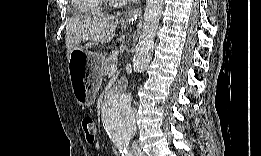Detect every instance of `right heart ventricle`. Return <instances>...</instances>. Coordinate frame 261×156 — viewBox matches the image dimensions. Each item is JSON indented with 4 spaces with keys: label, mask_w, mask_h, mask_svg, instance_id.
I'll return each mask as SVG.
<instances>
[{
    "label": "right heart ventricle",
    "mask_w": 261,
    "mask_h": 156,
    "mask_svg": "<svg viewBox=\"0 0 261 156\" xmlns=\"http://www.w3.org/2000/svg\"><path fill=\"white\" fill-rule=\"evenodd\" d=\"M75 5L85 11L96 10L99 7V1L96 0H76Z\"/></svg>",
    "instance_id": "right-heart-ventricle-1"
}]
</instances>
